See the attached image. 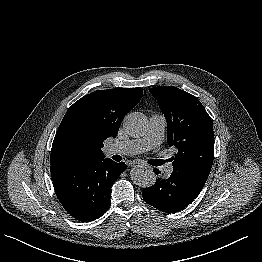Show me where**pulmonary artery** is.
Returning <instances> with one entry per match:
<instances>
[{
    "label": "pulmonary artery",
    "mask_w": 262,
    "mask_h": 262,
    "mask_svg": "<svg viewBox=\"0 0 262 262\" xmlns=\"http://www.w3.org/2000/svg\"><path fill=\"white\" fill-rule=\"evenodd\" d=\"M166 120L162 115L154 114L150 117L147 134L140 139L120 141L108 148L109 154L135 155L159 146L163 140ZM167 176L173 172L171 164L164 168Z\"/></svg>",
    "instance_id": "pulmonary-artery-1"
}]
</instances>
